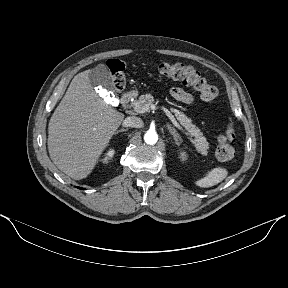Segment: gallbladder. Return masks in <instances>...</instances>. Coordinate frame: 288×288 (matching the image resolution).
Wrapping results in <instances>:
<instances>
[{
  "label": "gallbladder",
  "instance_id": "1",
  "mask_svg": "<svg viewBox=\"0 0 288 288\" xmlns=\"http://www.w3.org/2000/svg\"><path fill=\"white\" fill-rule=\"evenodd\" d=\"M89 80L92 85H100L107 90H112V82L110 72L105 64H98L89 70Z\"/></svg>",
  "mask_w": 288,
  "mask_h": 288
}]
</instances>
